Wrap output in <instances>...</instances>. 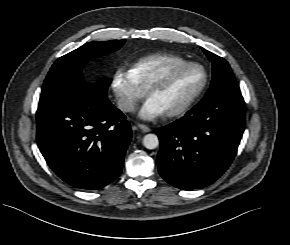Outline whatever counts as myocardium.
Here are the masks:
<instances>
[{
	"mask_svg": "<svg viewBox=\"0 0 290 245\" xmlns=\"http://www.w3.org/2000/svg\"><path fill=\"white\" fill-rule=\"evenodd\" d=\"M196 67L202 70L203 72V82L200 85V87L188 98L186 102H184L181 106L177 107L176 109H173L171 111L165 112L166 116L168 117H175L184 114L187 112L194 103L200 98V96L203 94V92L206 90L208 83H209V74L206 68L196 62H185L182 64L174 65L172 67H169L164 71V73L158 74L147 86L145 93L147 95L150 94V92L155 89L156 87L160 86L162 83H164L170 74L177 73L183 69Z\"/></svg>",
	"mask_w": 290,
	"mask_h": 245,
	"instance_id": "f54148a6",
	"label": "myocardium"
}]
</instances>
